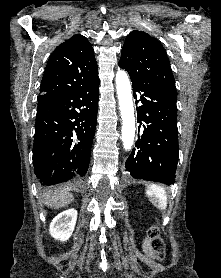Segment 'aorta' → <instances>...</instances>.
<instances>
[{"instance_id": "aorta-1", "label": "aorta", "mask_w": 221, "mask_h": 278, "mask_svg": "<svg viewBox=\"0 0 221 278\" xmlns=\"http://www.w3.org/2000/svg\"><path fill=\"white\" fill-rule=\"evenodd\" d=\"M121 118L122 142L125 150H130L135 138V116L131 93V84L127 73L119 70L115 77Z\"/></svg>"}]
</instances>
